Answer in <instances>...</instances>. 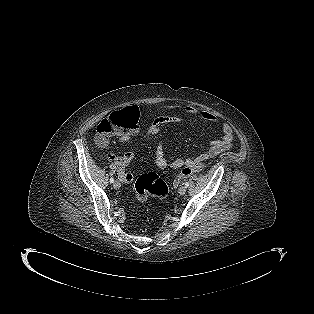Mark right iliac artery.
<instances>
[{
	"instance_id": "right-iliac-artery-1",
	"label": "right iliac artery",
	"mask_w": 314,
	"mask_h": 314,
	"mask_svg": "<svg viewBox=\"0 0 314 314\" xmlns=\"http://www.w3.org/2000/svg\"><path fill=\"white\" fill-rule=\"evenodd\" d=\"M114 182V178H110V183H113Z\"/></svg>"
}]
</instances>
